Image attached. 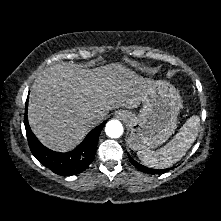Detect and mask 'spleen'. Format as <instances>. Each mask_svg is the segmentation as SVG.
<instances>
[{"label":"spleen","mask_w":221,"mask_h":221,"mask_svg":"<svg viewBox=\"0 0 221 221\" xmlns=\"http://www.w3.org/2000/svg\"><path fill=\"white\" fill-rule=\"evenodd\" d=\"M199 125L198 116L190 117L166 146L157 151H138V158L151 168L164 169L172 166L186 154L196 140Z\"/></svg>","instance_id":"obj_1"}]
</instances>
